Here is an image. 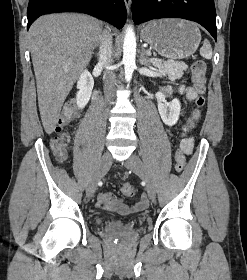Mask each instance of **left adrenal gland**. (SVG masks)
Wrapping results in <instances>:
<instances>
[{"mask_svg":"<svg viewBox=\"0 0 247 280\" xmlns=\"http://www.w3.org/2000/svg\"><path fill=\"white\" fill-rule=\"evenodd\" d=\"M140 64L144 65V66H148L150 64V61L148 60V58L145 55V50L144 48H142L141 50V54H140Z\"/></svg>","mask_w":247,"mask_h":280,"instance_id":"1","label":"left adrenal gland"}]
</instances>
